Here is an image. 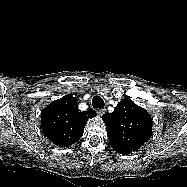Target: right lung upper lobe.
<instances>
[{"label": "right lung upper lobe", "mask_w": 187, "mask_h": 187, "mask_svg": "<svg viewBox=\"0 0 187 187\" xmlns=\"http://www.w3.org/2000/svg\"><path fill=\"white\" fill-rule=\"evenodd\" d=\"M93 116H96L93 109L80 112L77 99L65 95L42 110L41 129L54 144L69 147L82 137L88 119Z\"/></svg>", "instance_id": "cb5924a9"}]
</instances>
